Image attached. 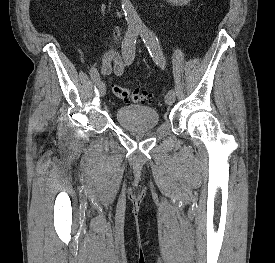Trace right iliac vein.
I'll use <instances>...</instances> for the list:
<instances>
[{
  "label": "right iliac vein",
  "instance_id": "right-iliac-vein-1",
  "mask_svg": "<svg viewBox=\"0 0 275 263\" xmlns=\"http://www.w3.org/2000/svg\"><path fill=\"white\" fill-rule=\"evenodd\" d=\"M98 89H99V93L100 95L103 97L106 94V87L105 84L103 82H100L98 84Z\"/></svg>",
  "mask_w": 275,
  "mask_h": 263
}]
</instances>
